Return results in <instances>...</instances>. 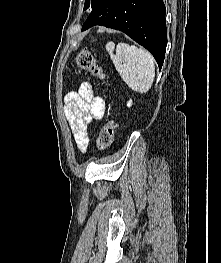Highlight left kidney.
<instances>
[{
    "mask_svg": "<svg viewBox=\"0 0 221 263\" xmlns=\"http://www.w3.org/2000/svg\"><path fill=\"white\" fill-rule=\"evenodd\" d=\"M131 105H132V100H129V101L127 102V106H128V107H131Z\"/></svg>",
    "mask_w": 221,
    "mask_h": 263,
    "instance_id": "left-kidney-1",
    "label": "left kidney"
}]
</instances>
